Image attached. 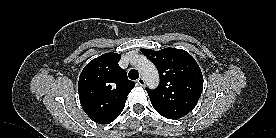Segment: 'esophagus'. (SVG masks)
<instances>
[{"label":"esophagus","mask_w":276,"mask_h":138,"mask_svg":"<svg viewBox=\"0 0 276 138\" xmlns=\"http://www.w3.org/2000/svg\"><path fill=\"white\" fill-rule=\"evenodd\" d=\"M137 84L140 85V86H145V80L140 77L138 80H137Z\"/></svg>","instance_id":"1"}]
</instances>
